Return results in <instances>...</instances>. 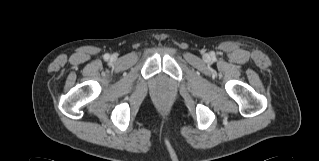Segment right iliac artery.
<instances>
[{
    "label": "right iliac artery",
    "instance_id": "right-iliac-artery-1",
    "mask_svg": "<svg viewBox=\"0 0 319 161\" xmlns=\"http://www.w3.org/2000/svg\"><path fill=\"white\" fill-rule=\"evenodd\" d=\"M109 58H110V55L106 53V54L104 55V59H105V60H108Z\"/></svg>",
    "mask_w": 319,
    "mask_h": 161
}]
</instances>
